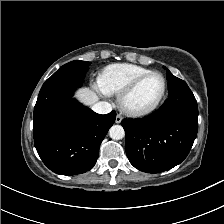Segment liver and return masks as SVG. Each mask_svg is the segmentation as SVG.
<instances>
[{
  "label": "liver",
  "mask_w": 224,
  "mask_h": 224,
  "mask_svg": "<svg viewBox=\"0 0 224 224\" xmlns=\"http://www.w3.org/2000/svg\"><path fill=\"white\" fill-rule=\"evenodd\" d=\"M76 98H78L79 101H81L83 104L87 106H92L95 103H97L99 97L98 95L89 88H83L76 92L75 95Z\"/></svg>",
  "instance_id": "liver-1"
}]
</instances>
